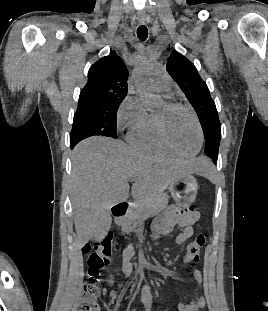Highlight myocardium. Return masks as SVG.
<instances>
[{
	"label": "myocardium",
	"instance_id": "obj_1",
	"mask_svg": "<svg viewBox=\"0 0 268 311\" xmlns=\"http://www.w3.org/2000/svg\"><path fill=\"white\" fill-rule=\"evenodd\" d=\"M175 109H181L186 111L187 113L190 114V116L192 117V119L194 120L197 130H198V134H199V144H198V148L195 152L193 153H184L182 151H180L178 148H176L174 146V144L171 142V140L168 137L167 131H166V126H165V116L166 113L168 111L171 110H175ZM156 122H157V129H158V134L162 140V142L165 144V146L172 152L182 156V157H194L196 156L202 149L203 143H204V133H203V129L201 126V123L197 117V115L195 114V112L188 106L183 105L181 103H177V102H166L165 103V110L163 112H157L156 113Z\"/></svg>",
	"mask_w": 268,
	"mask_h": 311
}]
</instances>
